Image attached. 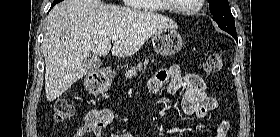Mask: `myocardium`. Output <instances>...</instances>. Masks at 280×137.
Here are the masks:
<instances>
[{"label": "myocardium", "instance_id": "obj_1", "mask_svg": "<svg viewBox=\"0 0 280 137\" xmlns=\"http://www.w3.org/2000/svg\"><path fill=\"white\" fill-rule=\"evenodd\" d=\"M203 2H204V0H198V4L192 8H178V7L171 6V5H167L166 7L176 13L193 14V13L199 12L202 9Z\"/></svg>", "mask_w": 280, "mask_h": 137}]
</instances>
